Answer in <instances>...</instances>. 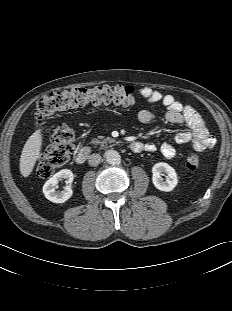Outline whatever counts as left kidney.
Masks as SVG:
<instances>
[{"mask_svg": "<svg viewBox=\"0 0 232 311\" xmlns=\"http://www.w3.org/2000/svg\"><path fill=\"white\" fill-rule=\"evenodd\" d=\"M152 173V182L154 186L160 191H172L178 183L175 169L167 163H156L152 167ZM164 173L167 175L165 181L162 178Z\"/></svg>", "mask_w": 232, "mask_h": 311, "instance_id": "obj_1", "label": "left kidney"}]
</instances>
